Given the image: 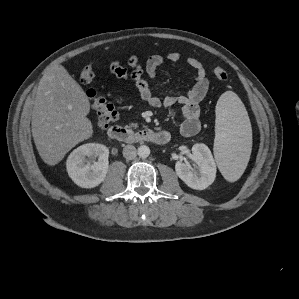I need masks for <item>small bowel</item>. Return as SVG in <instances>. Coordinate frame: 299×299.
<instances>
[{
    "instance_id": "1",
    "label": "small bowel",
    "mask_w": 299,
    "mask_h": 299,
    "mask_svg": "<svg viewBox=\"0 0 299 299\" xmlns=\"http://www.w3.org/2000/svg\"><path fill=\"white\" fill-rule=\"evenodd\" d=\"M181 58L182 57L179 52H170L167 55V60L172 63L181 61ZM163 62V56L153 54L147 58L145 65L142 66L138 56L132 54L128 58L130 70L122 66L118 61H112L110 64V71L119 79L124 81H133L141 99L153 107L164 106L166 108H171L179 105L183 119L180 126L181 132L185 136H193L197 134L200 129L199 106L205 98L210 84L206 70L203 64L196 58H187V65L195 71L194 85L185 95L166 96L161 98L152 92L150 84L145 79V76L148 78H154L158 68Z\"/></svg>"
}]
</instances>
